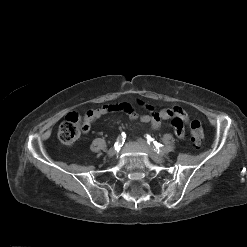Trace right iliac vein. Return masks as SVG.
Segmentation results:
<instances>
[{"label":"right iliac vein","instance_id":"obj_1","mask_svg":"<svg viewBox=\"0 0 247 247\" xmlns=\"http://www.w3.org/2000/svg\"><path fill=\"white\" fill-rule=\"evenodd\" d=\"M116 154V149L114 147L110 148L107 152L109 157H113Z\"/></svg>","mask_w":247,"mask_h":247}]
</instances>
